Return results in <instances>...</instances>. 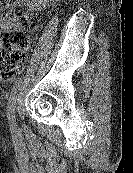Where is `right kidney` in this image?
Returning <instances> with one entry per match:
<instances>
[{
  "label": "right kidney",
  "mask_w": 133,
  "mask_h": 173,
  "mask_svg": "<svg viewBox=\"0 0 133 173\" xmlns=\"http://www.w3.org/2000/svg\"><path fill=\"white\" fill-rule=\"evenodd\" d=\"M59 0H26V6L29 7L30 10H34L36 8H40L41 6L45 7L49 2H54Z\"/></svg>",
  "instance_id": "ca27d5eb"
}]
</instances>
